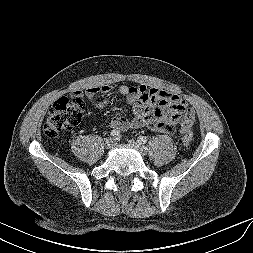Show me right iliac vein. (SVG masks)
<instances>
[{
  "mask_svg": "<svg viewBox=\"0 0 253 253\" xmlns=\"http://www.w3.org/2000/svg\"><path fill=\"white\" fill-rule=\"evenodd\" d=\"M115 146V140L113 138H107L105 140V147L110 149L113 148Z\"/></svg>",
  "mask_w": 253,
  "mask_h": 253,
  "instance_id": "obj_1",
  "label": "right iliac vein"
}]
</instances>
